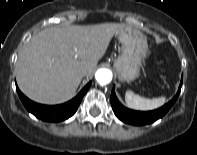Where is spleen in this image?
Instances as JSON below:
<instances>
[{
	"label": "spleen",
	"instance_id": "obj_1",
	"mask_svg": "<svg viewBox=\"0 0 197 155\" xmlns=\"http://www.w3.org/2000/svg\"><path fill=\"white\" fill-rule=\"evenodd\" d=\"M165 97L146 99L128 90L125 93V102L128 107L135 110H153L165 103Z\"/></svg>",
	"mask_w": 197,
	"mask_h": 155
}]
</instances>
